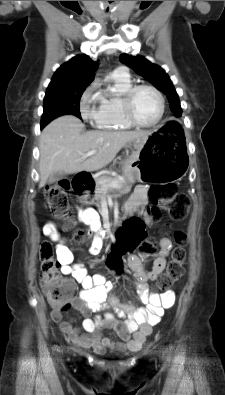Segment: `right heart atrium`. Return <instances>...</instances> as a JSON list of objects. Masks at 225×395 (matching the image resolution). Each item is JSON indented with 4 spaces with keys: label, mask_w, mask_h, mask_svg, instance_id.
Returning a JSON list of instances; mask_svg holds the SVG:
<instances>
[{
    "label": "right heart atrium",
    "mask_w": 225,
    "mask_h": 395,
    "mask_svg": "<svg viewBox=\"0 0 225 395\" xmlns=\"http://www.w3.org/2000/svg\"><path fill=\"white\" fill-rule=\"evenodd\" d=\"M94 86H90L82 95L80 101V113L84 120L95 123L98 109L94 107L97 101V94L94 93Z\"/></svg>",
    "instance_id": "1"
}]
</instances>
